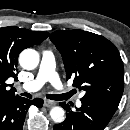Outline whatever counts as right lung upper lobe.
I'll return each instance as SVG.
<instances>
[{
  "mask_svg": "<svg viewBox=\"0 0 130 130\" xmlns=\"http://www.w3.org/2000/svg\"><path fill=\"white\" fill-rule=\"evenodd\" d=\"M48 32H35L15 26L0 28V97L14 96L15 88L9 89V77L16 78L15 70L19 53L48 37Z\"/></svg>",
  "mask_w": 130,
  "mask_h": 130,
  "instance_id": "right-lung-upper-lobe-1",
  "label": "right lung upper lobe"
}]
</instances>
